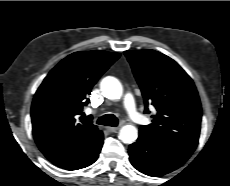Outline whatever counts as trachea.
<instances>
[{
	"instance_id": "trachea-1",
	"label": "trachea",
	"mask_w": 230,
	"mask_h": 186,
	"mask_svg": "<svg viewBox=\"0 0 230 186\" xmlns=\"http://www.w3.org/2000/svg\"><path fill=\"white\" fill-rule=\"evenodd\" d=\"M97 124L116 127L118 125V119L113 114H105L97 120Z\"/></svg>"
}]
</instances>
